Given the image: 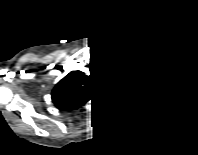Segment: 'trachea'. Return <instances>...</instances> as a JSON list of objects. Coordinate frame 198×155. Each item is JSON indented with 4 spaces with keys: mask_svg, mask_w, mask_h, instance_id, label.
<instances>
[{
    "mask_svg": "<svg viewBox=\"0 0 198 155\" xmlns=\"http://www.w3.org/2000/svg\"><path fill=\"white\" fill-rule=\"evenodd\" d=\"M103 71L104 73H109L110 67L109 66L104 67Z\"/></svg>",
    "mask_w": 198,
    "mask_h": 155,
    "instance_id": "obj_1",
    "label": "trachea"
}]
</instances>
